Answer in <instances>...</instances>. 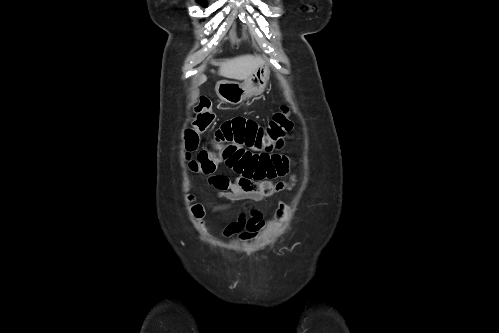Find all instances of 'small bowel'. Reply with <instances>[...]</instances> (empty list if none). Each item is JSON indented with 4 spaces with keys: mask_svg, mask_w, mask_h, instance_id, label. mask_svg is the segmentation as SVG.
Returning <instances> with one entry per match:
<instances>
[{
    "mask_svg": "<svg viewBox=\"0 0 499 333\" xmlns=\"http://www.w3.org/2000/svg\"><path fill=\"white\" fill-rule=\"evenodd\" d=\"M215 139L220 143L223 161L237 174L234 181L223 175L209 178L221 197L259 203L292 186L294 179L290 183L273 184L270 181L288 171V158L278 152L284 138L267 144L264 127L253 120L237 117L223 123ZM246 209L244 207L239 217L223 230L224 237L237 235L238 240L247 241L260 233L264 226L262 214L253 208L246 213Z\"/></svg>",
    "mask_w": 499,
    "mask_h": 333,
    "instance_id": "1",
    "label": "small bowel"
}]
</instances>
